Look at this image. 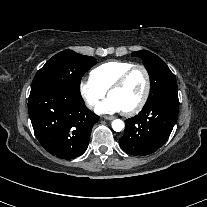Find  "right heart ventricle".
I'll return each mask as SVG.
<instances>
[{
	"instance_id": "right-heart-ventricle-1",
	"label": "right heart ventricle",
	"mask_w": 207,
	"mask_h": 207,
	"mask_svg": "<svg viewBox=\"0 0 207 207\" xmlns=\"http://www.w3.org/2000/svg\"><path fill=\"white\" fill-rule=\"evenodd\" d=\"M132 66L133 63L128 61H106L91 71V77L107 90L117 78Z\"/></svg>"
}]
</instances>
